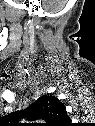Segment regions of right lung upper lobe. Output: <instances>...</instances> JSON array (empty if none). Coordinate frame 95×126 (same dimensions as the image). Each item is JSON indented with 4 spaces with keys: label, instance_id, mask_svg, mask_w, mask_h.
<instances>
[{
    "label": "right lung upper lobe",
    "instance_id": "cb5924a9",
    "mask_svg": "<svg viewBox=\"0 0 95 126\" xmlns=\"http://www.w3.org/2000/svg\"><path fill=\"white\" fill-rule=\"evenodd\" d=\"M13 122L22 118L27 120H44L47 126H67L70 117L64 104L55 96L43 95L25 110L16 111L8 117Z\"/></svg>",
    "mask_w": 95,
    "mask_h": 126
}]
</instances>
